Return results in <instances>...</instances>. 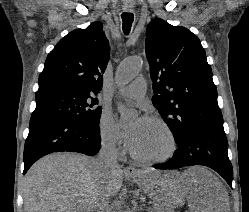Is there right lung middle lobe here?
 <instances>
[{
	"instance_id": "dd1d6c3e",
	"label": "right lung middle lobe",
	"mask_w": 249,
	"mask_h": 212,
	"mask_svg": "<svg viewBox=\"0 0 249 212\" xmlns=\"http://www.w3.org/2000/svg\"><path fill=\"white\" fill-rule=\"evenodd\" d=\"M92 94L81 92H49L36 95V108L30 123L45 119H67L81 124L99 125L101 107Z\"/></svg>"
}]
</instances>
